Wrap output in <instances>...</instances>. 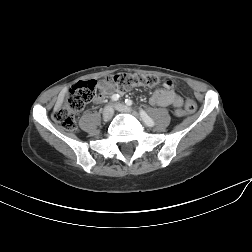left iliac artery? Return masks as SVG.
<instances>
[{
  "label": "left iliac artery",
  "instance_id": "1",
  "mask_svg": "<svg viewBox=\"0 0 252 252\" xmlns=\"http://www.w3.org/2000/svg\"><path fill=\"white\" fill-rule=\"evenodd\" d=\"M125 103H126V105H128V106L133 105V101L130 100V99H126V100H125ZM139 114H140L141 118L143 119V121L145 122V124H146L147 126H150V127L154 126V121H153V119L150 118L144 110H142V109L139 110Z\"/></svg>",
  "mask_w": 252,
  "mask_h": 252
}]
</instances>
